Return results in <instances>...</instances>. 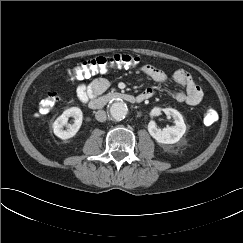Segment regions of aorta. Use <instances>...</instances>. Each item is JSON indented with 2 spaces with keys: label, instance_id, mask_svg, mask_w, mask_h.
Masks as SVG:
<instances>
[{
  "label": "aorta",
  "instance_id": "obj_1",
  "mask_svg": "<svg viewBox=\"0 0 243 243\" xmlns=\"http://www.w3.org/2000/svg\"><path fill=\"white\" fill-rule=\"evenodd\" d=\"M109 111L113 119L120 121L126 117L128 113V106L122 100H115L111 103Z\"/></svg>",
  "mask_w": 243,
  "mask_h": 243
}]
</instances>
